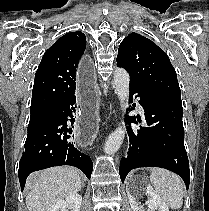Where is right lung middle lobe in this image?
<instances>
[{
	"label": "right lung middle lobe",
	"mask_w": 209,
	"mask_h": 211,
	"mask_svg": "<svg viewBox=\"0 0 209 211\" xmlns=\"http://www.w3.org/2000/svg\"><path fill=\"white\" fill-rule=\"evenodd\" d=\"M48 110H41L31 112L30 121L28 125V132L31 131L47 114Z\"/></svg>",
	"instance_id": "obj_1"
}]
</instances>
